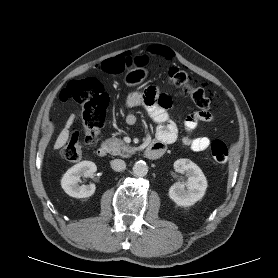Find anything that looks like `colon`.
Wrapping results in <instances>:
<instances>
[{
  "instance_id": "5ec220e1",
  "label": "colon",
  "mask_w": 278,
  "mask_h": 278,
  "mask_svg": "<svg viewBox=\"0 0 278 278\" xmlns=\"http://www.w3.org/2000/svg\"><path fill=\"white\" fill-rule=\"evenodd\" d=\"M143 62H145L144 58L133 59L131 56L123 55L104 61L101 64V70L107 74L117 75L133 63ZM167 80L171 86L189 95L201 110L210 108L211 97L209 91L203 84L193 80L184 70L177 67L170 68ZM60 100L62 102L73 101L83 107V142L80 140V133L76 131L60 149V155L64 160L75 163L81 159L84 145H93L98 140L106 117L108 96L98 79L85 78L69 82L62 89ZM210 150L216 163L220 165L227 163L229 151L223 141L213 140L210 144Z\"/></svg>"
}]
</instances>
